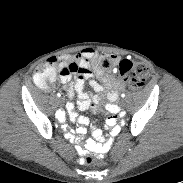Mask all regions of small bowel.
<instances>
[{
	"label": "small bowel",
	"instance_id": "small-bowel-1",
	"mask_svg": "<svg viewBox=\"0 0 183 183\" xmlns=\"http://www.w3.org/2000/svg\"><path fill=\"white\" fill-rule=\"evenodd\" d=\"M42 67H52L55 70L57 68L60 73V80L68 96L73 97L77 94V104L69 101L66 105L70 120L78 122L75 132L70 129V124L67 121H63L65 114L62 111H57L54 114V119L57 122H61L59 129L64 132V137L67 140H72L75 137V133L80 137L83 136L86 133V127L89 125V120L86 117L77 116L75 112L76 107L80 111L89 108L98 111L103 107L112 114L118 113V106L115 103L119 92L124 88V84L106 75L100 69L98 65V52L95 49L85 48L76 55L50 57ZM93 75L100 78L103 84L96 80ZM85 81L89 82V85L97 95L93 96L84 91ZM105 88H108L106 96H104ZM104 97L107 100L105 103L102 102ZM106 125L110 128V132L113 135H118L121 132V128L127 125V120L124 117L113 115L106 119ZM90 139L87 141L86 148L93 151L92 157L95 160H104L107 157V149L112 150L117 145L116 140L112 137L105 140V146L101 145L99 142L102 141L103 134L99 130L92 131ZM73 148L77 151V162L80 165H85L88 162V151L84 148V143L76 139L74 140Z\"/></svg>",
	"mask_w": 183,
	"mask_h": 183
}]
</instances>
